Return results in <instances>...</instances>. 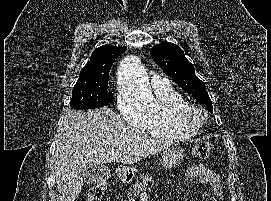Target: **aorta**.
Instances as JSON below:
<instances>
[{
  "label": "aorta",
  "instance_id": "1",
  "mask_svg": "<svg viewBox=\"0 0 271 201\" xmlns=\"http://www.w3.org/2000/svg\"><path fill=\"white\" fill-rule=\"evenodd\" d=\"M118 73L123 91L137 105L145 109L157 106V101L149 88L143 66L137 57H125L119 65Z\"/></svg>",
  "mask_w": 271,
  "mask_h": 201
}]
</instances>
